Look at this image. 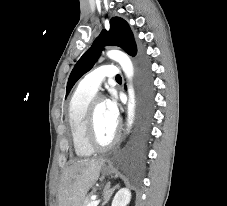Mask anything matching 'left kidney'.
Instances as JSON below:
<instances>
[{"label":"left kidney","mask_w":227,"mask_h":206,"mask_svg":"<svg viewBox=\"0 0 227 206\" xmlns=\"http://www.w3.org/2000/svg\"><path fill=\"white\" fill-rule=\"evenodd\" d=\"M131 199L128 188H121L114 196L111 206H127Z\"/></svg>","instance_id":"5707ae66"}]
</instances>
